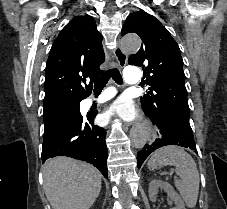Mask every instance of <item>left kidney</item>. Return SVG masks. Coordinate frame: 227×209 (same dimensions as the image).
<instances>
[{"instance_id": "1", "label": "left kidney", "mask_w": 227, "mask_h": 209, "mask_svg": "<svg viewBox=\"0 0 227 209\" xmlns=\"http://www.w3.org/2000/svg\"><path fill=\"white\" fill-rule=\"evenodd\" d=\"M158 189H163V191H166L168 197L174 201L176 209H185L184 201H182L178 193H175L173 187H171L169 183H166V181H158V179H152L149 185L148 193L150 201H156Z\"/></svg>"}]
</instances>
